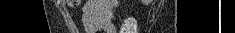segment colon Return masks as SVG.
<instances>
[{
  "mask_svg": "<svg viewBox=\"0 0 235 33\" xmlns=\"http://www.w3.org/2000/svg\"><path fill=\"white\" fill-rule=\"evenodd\" d=\"M71 4L77 5L80 3V0H72L70 1ZM123 33H136V26L135 22L132 19H128L125 21L123 28H122Z\"/></svg>",
  "mask_w": 235,
  "mask_h": 33,
  "instance_id": "colon-1",
  "label": "colon"
}]
</instances>
